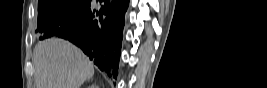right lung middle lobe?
<instances>
[{
    "label": "right lung middle lobe",
    "mask_w": 267,
    "mask_h": 88,
    "mask_svg": "<svg viewBox=\"0 0 267 88\" xmlns=\"http://www.w3.org/2000/svg\"><path fill=\"white\" fill-rule=\"evenodd\" d=\"M90 5V0H39L38 27L40 39L51 37V31L66 20L72 19Z\"/></svg>",
    "instance_id": "obj_1"
}]
</instances>
